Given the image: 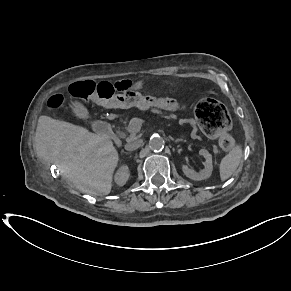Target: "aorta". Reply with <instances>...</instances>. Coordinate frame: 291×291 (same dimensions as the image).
<instances>
[{
    "label": "aorta",
    "instance_id": "aorta-1",
    "mask_svg": "<svg viewBox=\"0 0 291 291\" xmlns=\"http://www.w3.org/2000/svg\"><path fill=\"white\" fill-rule=\"evenodd\" d=\"M165 141L161 136H153L149 141V147L153 151H161L164 148Z\"/></svg>",
    "mask_w": 291,
    "mask_h": 291
}]
</instances>
